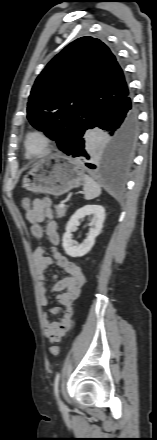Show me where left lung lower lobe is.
<instances>
[{
	"instance_id": "left-lung-lower-lobe-1",
	"label": "left lung lower lobe",
	"mask_w": 157,
	"mask_h": 440,
	"mask_svg": "<svg viewBox=\"0 0 157 440\" xmlns=\"http://www.w3.org/2000/svg\"><path fill=\"white\" fill-rule=\"evenodd\" d=\"M90 129L104 133L100 147L93 149L83 136L66 154L79 158L96 172L121 177L131 164L138 136V113L130 92L102 109Z\"/></svg>"
}]
</instances>
